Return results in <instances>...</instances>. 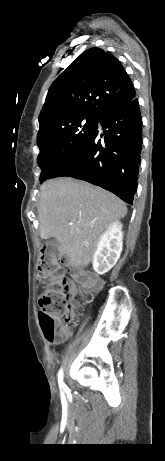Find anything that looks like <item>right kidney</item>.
Masks as SVG:
<instances>
[{
	"instance_id": "ca27d5eb",
	"label": "right kidney",
	"mask_w": 165,
	"mask_h": 461,
	"mask_svg": "<svg viewBox=\"0 0 165 461\" xmlns=\"http://www.w3.org/2000/svg\"><path fill=\"white\" fill-rule=\"evenodd\" d=\"M122 224L113 222L102 234L93 256V269L100 275L107 273L118 261L123 246Z\"/></svg>"
}]
</instances>
